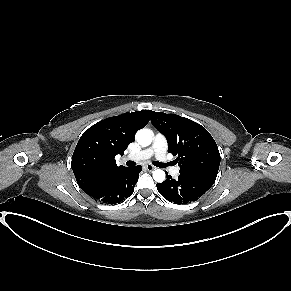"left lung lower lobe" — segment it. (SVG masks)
Segmentation results:
<instances>
[{
  "label": "left lung lower lobe",
  "mask_w": 291,
  "mask_h": 291,
  "mask_svg": "<svg viewBox=\"0 0 291 291\" xmlns=\"http://www.w3.org/2000/svg\"><path fill=\"white\" fill-rule=\"evenodd\" d=\"M214 182L215 179L208 176L180 173L178 179L167 175L164 182L157 184V189L169 202L186 204L200 198Z\"/></svg>",
  "instance_id": "1"
}]
</instances>
